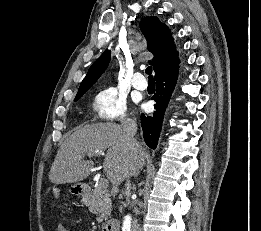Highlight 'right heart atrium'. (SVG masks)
Returning <instances> with one entry per match:
<instances>
[{"label": "right heart atrium", "mask_w": 261, "mask_h": 231, "mask_svg": "<svg viewBox=\"0 0 261 231\" xmlns=\"http://www.w3.org/2000/svg\"><path fill=\"white\" fill-rule=\"evenodd\" d=\"M93 108L97 119L104 122L128 121L125 96L114 87L99 90L93 98Z\"/></svg>", "instance_id": "d8ad5b80"}]
</instances>
